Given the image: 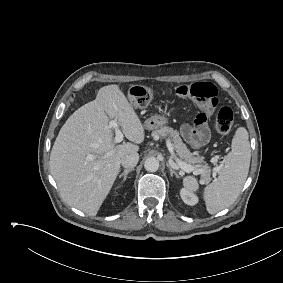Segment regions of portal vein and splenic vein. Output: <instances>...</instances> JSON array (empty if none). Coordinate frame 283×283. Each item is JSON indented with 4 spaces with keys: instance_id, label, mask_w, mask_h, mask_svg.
Returning a JSON list of instances; mask_svg holds the SVG:
<instances>
[{
    "instance_id": "obj_1",
    "label": "portal vein and splenic vein",
    "mask_w": 283,
    "mask_h": 283,
    "mask_svg": "<svg viewBox=\"0 0 283 283\" xmlns=\"http://www.w3.org/2000/svg\"><path fill=\"white\" fill-rule=\"evenodd\" d=\"M109 126H110L111 128H114V129H115V142H116V143H120V142L123 140L124 135H123V133L121 132V130L119 129L117 120H111V121L109 122ZM168 147H169V150H170V152H171V156H172V158H173V157H174L173 147L171 146L170 143H168ZM90 159H92L91 156H90ZM177 163H178V164H177L178 167H180L183 171H185V172H187V173H190V172H192V171L194 170V167H193L192 165H189V164H187V163H185V162H183V161H178ZM214 171H215V172H218V171H219V167H215V168H214Z\"/></svg>"
}]
</instances>
